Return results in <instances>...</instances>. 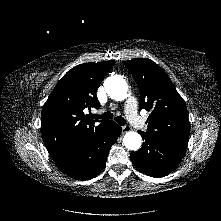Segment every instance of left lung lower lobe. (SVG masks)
Instances as JSON below:
<instances>
[{"label": "left lung lower lobe", "instance_id": "obj_1", "mask_svg": "<svg viewBox=\"0 0 221 221\" xmlns=\"http://www.w3.org/2000/svg\"><path fill=\"white\" fill-rule=\"evenodd\" d=\"M144 142L137 152L130 154L133 164L151 177H164L182 160L186 148L153 138L139 131Z\"/></svg>", "mask_w": 221, "mask_h": 221}]
</instances>
